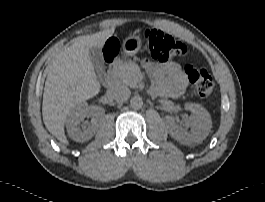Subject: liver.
<instances>
[{
    "label": "liver",
    "instance_id": "obj_1",
    "mask_svg": "<svg viewBox=\"0 0 265 202\" xmlns=\"http://www.w3.org/2000/svg\"><path fill=\"white\" fill-rule=\"evenodd\" d=\"M114 28L77 38L60 51L49 65L45 82L42 116L47 130L61 143L68 145L64 124L71 109L100 92L88 52L91 47H103Z\"/></svg>",
    "mask_w": 265,
    "mask_h": 202
}]
</instances>
